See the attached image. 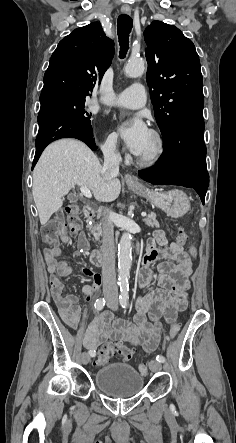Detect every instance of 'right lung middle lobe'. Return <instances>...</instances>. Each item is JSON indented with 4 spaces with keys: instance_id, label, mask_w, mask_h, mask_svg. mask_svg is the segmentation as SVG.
Masks as SVG:
<instances>
[{
    "instance_id": "1",
    "label": "right lung middle lobe",
    "mask_w": 236,
    "mask_h": 443,
    "mask_svg": "<svg viewBox=\"0 0 236 443\" xmlns=\"http://www.w3.org/2000/svg\"><path fill=\"white\" fill-rule=\"evenodd\" d=\"M41 104L56 103L65 107L69 112L79 117L80 119L90 123L91 113H88L84 107L85 96L74 94H56L44 101H40Z\"/></svg>"
}]
</instances>
